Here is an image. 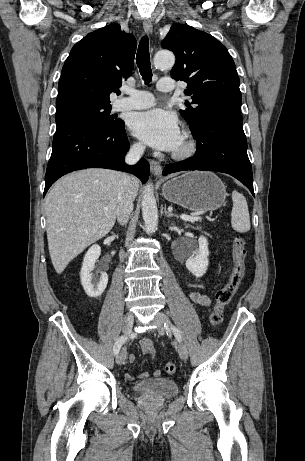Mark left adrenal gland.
<instances>
[{
    "label": "left adrenal gland",
    "mask_w": 305,
    "mask_h": 461,
    "mask_svg": "<svg viewBox=\"0 0 305 461\" xmlns=\"http://www.w3.org/2000/svg\"><path fill=\"white\" fill-rule=\"evenodd\" d=\"M164 211H165V216H166L167 218H170V217H176V218H178V216H177L176 214H173L171 211L166 210V207H165V210H164Z\"/></svg>",
    "instance_id": "a2214340"
}]
</instances>
